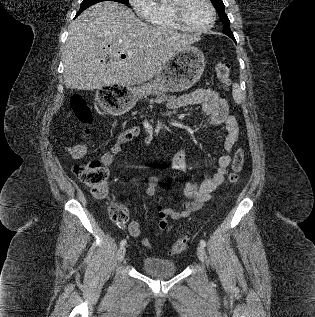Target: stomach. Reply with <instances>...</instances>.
<instances>
[{
    "instance_id": "obj_1",
    "label": "stomach",
    "mask_w": 315,
    "mask_h": 317,
    "mask_svg": "<svg viewBox=\"0 0 315 317\" xmlns=\"http://www.w3.org/2000/svg\"><path fill=\"white\" fill-rule=\"evenodd\" d=\"M205 65L203 53L196 47L188 46L175 53L150 83L135 88H130L129 84H104V88H99V95L112 97H100V104L110 114H131V108L141 104L143 96L192 87L202 76Z\"/></svg>"
}]
</instances>
